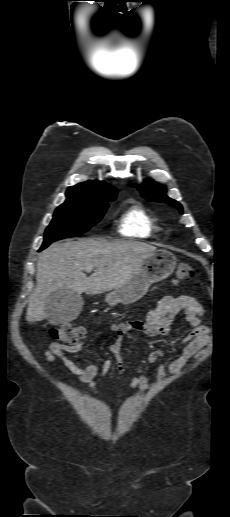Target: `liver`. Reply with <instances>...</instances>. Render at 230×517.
<instances>
[{"label":"liver","instance_id":"1","mask_svg":"<svg viewBox=\"0 0 230 517\" xmlns=\"http://www.w3.org/2000/svg\"><path fill=\"white\" fill-rule=\"evenodd\" d=\"M155 251L154 246L133 241L82 239L52 244L39 255L26 320L47 318L45 302L57 290L95 295L122 286ZM87 266L95 269L89 277L83 272Z\"/></svg>","mask_w":230,"mask_h":517}]
</instances>
